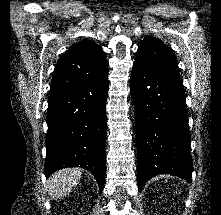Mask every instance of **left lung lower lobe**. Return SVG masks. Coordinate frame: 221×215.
I'll list each match as a JSON object with an SVG mask.
<instances>
[{
	"label": "left lung lower lobe",
	"instance_id": "1",
	"mask_svg": "<svg viewBox=\"0 0 221 215\" xmlns=\"http://www.w3.org/2000/svg\"><path fill=\"white\" fill-rule=\"evenodd\" d=\"M130 92L136 110L138 189L159 174L191 182V140L181 79L134 62Z\"/></svg>",
	"mask_w": 221,
	"mask_h": 215
}]
</instances>
